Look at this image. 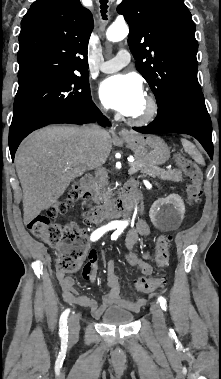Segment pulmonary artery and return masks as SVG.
Masks as SVG:
<instances>
[{
    "instance_id": "1",
    "label": "pulmonary artery",
    "mask_w": 221,
    "mask_h": 379,
    "mask_svg": "<svg viewBox=\"0 0 221 379\" xmlns=\"http://www.w3.org/2000/svg\"><path fill=\"white\" fill-rule=\"evenodd\" d=\"M130 62V53L127 50H120L117 55L100 65V70L104 73H113L124 66H126Z\"/></svg>"
}]
</instances>
